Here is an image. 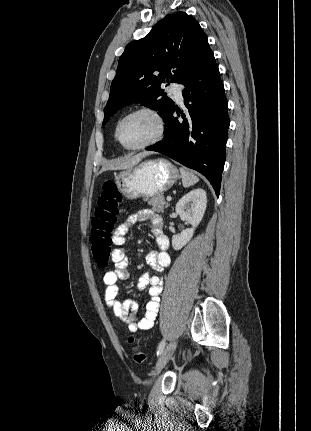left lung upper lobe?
<instances>
[{"label": "left lung upper lobe", "mask_w": 311, "mask_h": 431, "mask_svg": "<svg viewBox=\"0 0 311 431\" xmlns=\"http://www.w3.org/2000/svg\"><path fill=\"white\" fill-rule=\"evenodd\" d=\"M208 49L207 36L194 17L184 12L167 15L146 37L128 44L120 56L103 126L119 109L134 102L158 110L164 120L174 102L163 93L161 84L166 78L180 83Z\"/></svg>", "instance_id": "obj_1"}]
</instances>
